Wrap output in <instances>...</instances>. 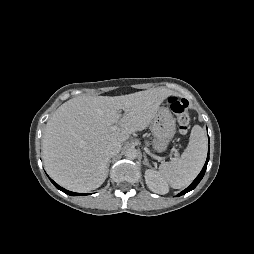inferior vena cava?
I'll return each instance as SVG.
<instances>
[{
  "label": "inferior vena cava",
  "mask_w": 254,
  "mask_h": 254,
  "mask_svg": "<svg viewBox=\"0 0 254 254\" xmlns=\"http://www.w3.org/2000/svg\"><path fill=\"white\" fill-rule=\"evenodd\" d=\"M121 150V143L119 142H112L110 143L106 150H105V154L108 158L113 157L114 155L118 154Z\"/></svg>",
  "instance_id": "obj_1"
}]
</instances>
